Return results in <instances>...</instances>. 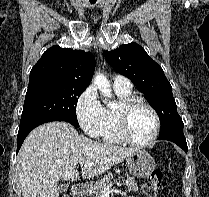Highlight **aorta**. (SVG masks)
I'll return each mask as SVG.
<instances>
[{"instance_id":"obj_1","label":"aorta","mask_w":209,"mask_h":197,"mask_svg":"<svg viewBox=\"0 0 209 197\" xmlns=\"http://www.w3.org/2000/svg\"><path fill=\"white\" fill-rule=\"evenodd\" d=\"M93 83L94 85L99 89V91L102 93V95L112 98V93H111V87H110V82L101 73H97L95 77L93 78ZM110 107L115 106V101L109 102L108 104Z\"/></svg>"}]
</instances>
